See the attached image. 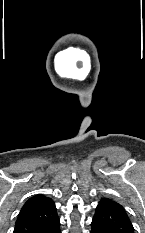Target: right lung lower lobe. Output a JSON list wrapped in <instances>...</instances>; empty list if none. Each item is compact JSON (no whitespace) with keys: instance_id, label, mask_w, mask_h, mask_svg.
<instances>
[{"instance_id":"98d812e1","label":"right lung lower lobe","mask_w":145,"mask_h":233,"mask_svg":"<svg viewBox=\"0 0 145 233\" xmlns=\"http://www.w3.org/2000/svg\"><path fill=\"white\" fill-rule=\"evenodd\" d=\"M40 233H61L59 218Z\"/></svg>"}]
</instances>
